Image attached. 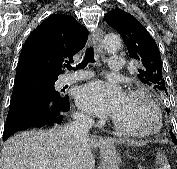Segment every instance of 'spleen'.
Listing matches in <instances>:
<instances>
[{
	"label": "spleen",
	"mask_w": 177,
	"mask_h": 169,
	"mask_svg": "<svg viewBox=\"0 0 177 169\" xmlns=\"http://www.w3.org/2000/svg\"><path fill=\"white\" fill-rule=\"evenodd\" d=\"M157 164L159 169H171L165 155L160 151L157 153Z\"/></svg>",
	"instance_id": "3e777b00"
}]
</instances>
